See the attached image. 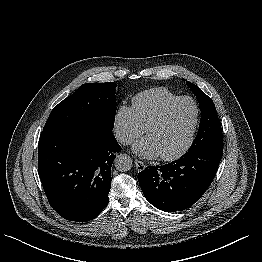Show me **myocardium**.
<instances>
[{
  "instance_id": "myocardium-1",
  "label": "myocardium",
  "mask_w": 262,
  "mask_h": 262,
  "mask_svg": "<svg viewBox=\"0 0 262 262\" xmlns=\"http://www.w3.org/2000/svg\"><path fill=\"white\" fill-rule=\"evenodd\" d=\"M182 101H190L195 106V118H194L193 126H192V129L190 131V134L188 136L186 143L178 151H176L175 153L170 154V155H160L161 159L164 160V161L176 160V159L180 158L181 156H183L190 149V147H191V145L194 141V138H195V135H196V132H197V128H198V125H199V120H200L201 110H200V106H199L198 102L190 96H180V97L176 98L175 100L168 103L158 113V115L148 124V126L145 129L146 134H148V132L152 128H155V127L159 126L160 124H162L164 122V120L166 119L170 110L175 105H177L178 103H180Z\"/></svg>"
}]
</instances>
